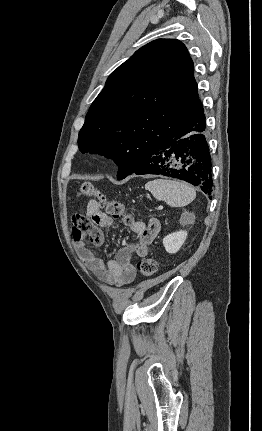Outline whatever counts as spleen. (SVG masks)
<instances>
[{"instance_id": "spleen-1", "label": "spleen", "mask_w": 262, "mask_h": 431, "mask_svg": "<svg viewBox=\"0 0 262 431\" xmlns=\"http://www.w3.org/2000/svg\"><path fill=\"white\" fill-rule=\"evenodd\" d=\"M145 189L160 201H165L172 207H183L196 198L193 187L185 182L167 179H155L145 184Z\"/></svg>"}]
</instances>
